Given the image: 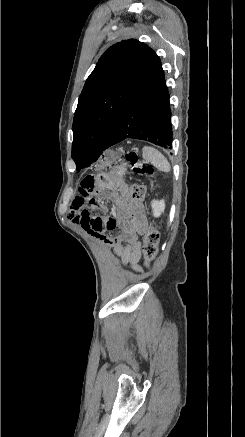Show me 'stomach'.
Listing matches in <instances>:
<instances>
[{"mask_svg": "<svg viewBox=\"0 0 245 437\" xmlns=\"http://www.w3.org/2000/svg\"><path fill=\"white\" fill-rule=\"evenodd\" d=\"M127 171L126 163H122L120 165H117L114 170L111 172L112 178H117L123 176Z\"/></svg>", "mask_w": 245, "mask_h": 437, "instance_id": "obj_1", "label": "stomach"}]
</instances>
